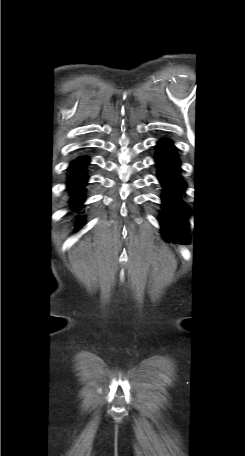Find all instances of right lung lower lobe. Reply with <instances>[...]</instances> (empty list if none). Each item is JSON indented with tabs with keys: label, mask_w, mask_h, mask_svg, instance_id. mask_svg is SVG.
<instances>
[{
	"label": "right lung lower lobe",
	"mask_w": 245,
	"mask_h": 456,
	"mask_svg": "<svg viewBox=\"0 0 245 456\" xmlns=\"http://www.w3.org/2000/svg\"><path fill=\"white\" fill-rule=\"evenodd\" d=\"M89 157L81 156L75 159L68 168V190L71 194L72 208H79L85 200L84 187L87 182L85 168L88 165ZM82 220V219H80ZM80 228V225H77Z\"/></svg>",
	"instance_id": "obj_1"
}]
</instances>
